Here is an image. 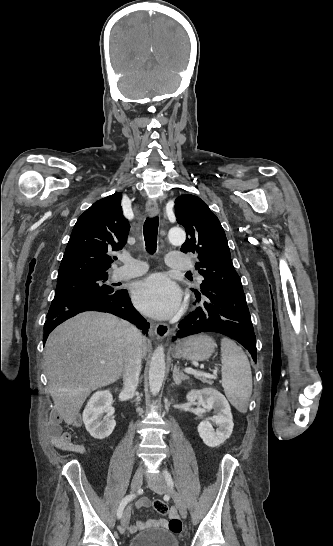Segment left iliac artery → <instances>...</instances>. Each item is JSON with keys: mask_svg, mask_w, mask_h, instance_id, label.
Returning <instances> with one entry per match:
<instances>
[{"mask_svg": "<svg viewBox=\"0 0 333 546\" xmlns=\"http://www.w3.org/2000/svg\"><path fill=\"white\" fill-rule=\"evenodd\" d=\"M164 476H165V479H166L168 485L173 486L172 477H171L170 473L167 470H164Z\"/></svg>", "mask_w": 333, "mask_h": 546, "instance_id": "1", "label": "left iliac artery"}]
</instances>
